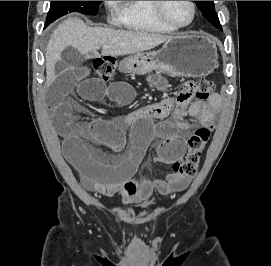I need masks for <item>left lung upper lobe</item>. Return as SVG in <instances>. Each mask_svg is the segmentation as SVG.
<instances>
[{
	"label": "left lung upper lobe",
	"mask_w": 271,
	"mask_h": 266,
	"mask_svg": "<svg viewBox=\"0 0 271 266\" xmlns=\"http://www.w3.org/2000/svg\"><path fill=\"white\" fill-rule=\"evenodd\" d=\"M201 10L203 16L215 27L222 29L213 1H194Z\"/></svg>",
	"instance_id": "5c2ea615"
}]
</instances>
